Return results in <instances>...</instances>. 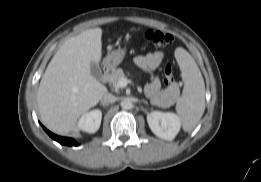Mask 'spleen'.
Segmentation results:
<instances>
[{
	"label": "spleen",
	"mask_w": 261,
	"mask_h": 182,
	"mask_svg": "<svg viewBox=\"0 0 261 182\" xmlns=\"http://www.w3.org/2000/svg\"><path fill=\"white\" fill-rule=\"evenodd\" d=\"M184 82L183 94L178 99L176 111L185 131H192L205 110V84L194 58L183 48L175 50Z\"/></svg>",
	"instance_id": "3e777b00"
}]
</instances>
